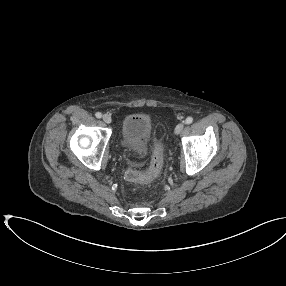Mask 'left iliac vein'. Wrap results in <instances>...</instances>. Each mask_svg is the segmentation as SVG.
<instances>
[{
    "mask_svg": "<svg viewBox=\"0 0 286 286\" xmlns=\"http://www.w3.org/2000/svg\"><path fill=\"white\" fill-rule=\"evenodd\" d=\"M184 129V123H179L175 128V134H180Z\"/></svg>",
    "mask_w": 286,
    "mask_h": 286,
    "instance_id": "obj_1",
    "label": "left iliac vein"
}]
</instances>
